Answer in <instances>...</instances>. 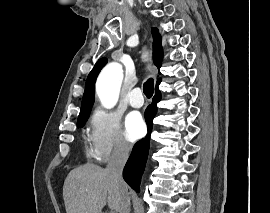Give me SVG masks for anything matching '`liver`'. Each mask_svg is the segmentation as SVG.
<instances>
[{"label": "liver", "mask_w": 270, "mask_h": 213, "mask_svg": "<svg viewBox=\"0 0 270 213\" xmlns=\"http://www.w3.org/2000/svg\"><path fill=\"white\" fill-rule=\"evenodd\" d=\"M63 198L66 213H101L106 203L111 210L119 212L121 186L106 169L87 163L69 172L63 185Z\"/></svg>", "instance_id": "liver-1"}]
</instances>
